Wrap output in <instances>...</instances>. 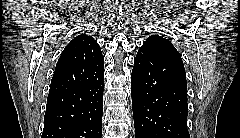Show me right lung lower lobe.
I'll list each match as a JSON object with an SVG mask.
<instances>
[{
  "label": "right lung lower lobe",
  "mask_w": 240,
  "mask_h": 138,
  "mask_svg": "<svg viewBox=\"0 0 240 138\" xmlns=\"http://www.w3.org/2000/svg\"><path fill=\"white\" fill-rule=\"evenodd\" d=\"M103 76L89 86L48 97L42 138H101Z\"/></svg>",
  "instance_id": "obj_1"
}]
</instances>
